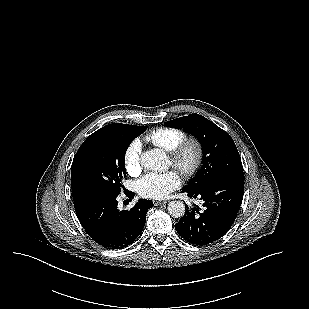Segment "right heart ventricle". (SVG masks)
Masks as SVG:
<instances>
[{"instance_id": "right-heart-ventricle-1", "label": "right heart ventricle", "mask_w": 309, "mask_h": 309, "mask_svg": "<svg viewBox=\"0 0 309 309\" xmlns=\"http://www.w3.org/2000/svg\"><path fill=\"white\" fill-rule=\"evenodd\" d=\"M185 138L183 130L172 127L157 128L144 136L145 141L167 152H171Z\"/></svg>"}]
</instances>
